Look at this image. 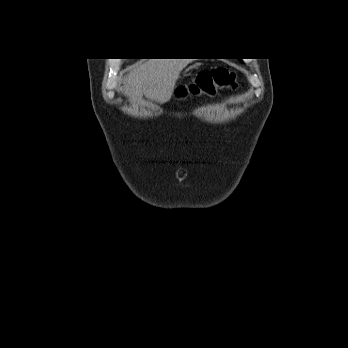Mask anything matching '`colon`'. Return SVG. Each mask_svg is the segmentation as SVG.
I'll return each instance as SVG.
<instances>
[{
  "label": "colon",
  "instance_id": "5ec220e1",
  "mask_svg": "<svg viewBox=\"0 0 348 348\" xmlns=\"http://www.w3.org/2000/svg\"><path fill=\"white\" fill-rule=\"evenodd\" d=\"M235 80L234 72L225 67H216L201 71L194 82L180 87L177 93L182 97L214 94L217 91L233 89Z\"/></svg>",
  "mask_w": 348,
  "mask_h": 348
}]
</instances>
